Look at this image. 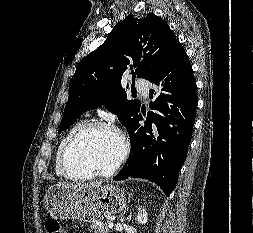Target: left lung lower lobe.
<instances>
[{"mask_svg":"<svg viewBox=\"0 0 253 233\" xmlns=\"http://www.w3.org/2000/svg\"><path fill=\"white\" fill-rule=\"evenodd\" d=\"M151 83L158 86L150 90V98H154L149 105L152 111L141 126L139 121L143 116L139 108L128 131L129 158L113 180L145 178L169 196L187 156L197 107L196 81L180 43L175 45L161 73Z\"/></svg>","mask_w":253,"mask_h":233,"instance_id":"obj_1","label":"left lung lower lobe"}]
</instances>
